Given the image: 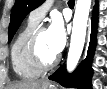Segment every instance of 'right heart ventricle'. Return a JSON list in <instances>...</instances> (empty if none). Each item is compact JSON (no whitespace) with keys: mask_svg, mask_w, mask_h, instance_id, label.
Listing matches in <instances>:
<instances>
[{"mask_svg":"<svg viewBox=\"0 0 107 89\" xmlns=\"http://www.w3.org/2000/svg\"><path fill=\"white\" fill-rule=\"evenodd\" d=\"M37 27L38 22L29 17L18 32L11 47V63L13 70L19 77L24 79H33L41 74V72L33 69L26 59L27 42Z\"/></svg>","mask_w":107,"mask_h":89,"instance_id":"obj_1","label":"right heart ventricle"}]
</instances>
